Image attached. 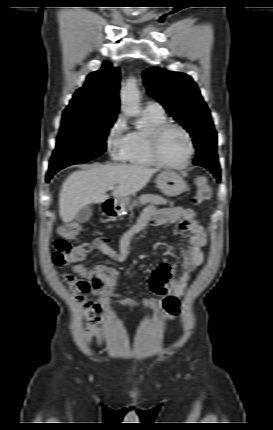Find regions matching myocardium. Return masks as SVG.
<instances>
[{"label": "myocardium", "instance_id": "f54148a6", "mask_svg": "<svg viewBox=\"0 0 273 430\" xmlns=\"http://www.w3.org/2000/svg\"><path fill=\"white\" fill-rule=\"evenodd\" d=\"M169 129H177L181 131L185 135L188 143V153L185 159L178 164L165 162L160 155L161 138L163 134ZM149 148H150V154H151L152 160L156 165L163 168L177 169V170L185 168L191 162V159L193 158V155L195 152L193 140L189 131L186 128H184L182 125L177 123H171V122H164L162 124L157 125L151 130L149 135Z\"/></svg>", "mask_w": 273, "mask_h": 430}]
</instances>
